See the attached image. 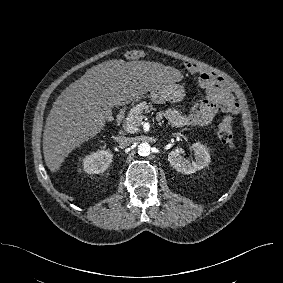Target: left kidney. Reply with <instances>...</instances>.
<instances>
[{
	"label": "left kidney",
	"mask_w": 283,
	"mask_h": 283,
	"mask_svg": "<svg viewBox=\"0 0 283 283\" xmlns=\"http://www.w3.org/2000/svg\"><path fill=\"white\" fill-rule=\"evenodd\" d=\"M191 148L194 151L195 158L192 162L183 158L182 155L185 151L182 148L174 149L168 155L170 165L180 173L192 174L197 170L205 168L210 163L211 158L209 152L203 144L196 142Z\"/></svg>",
	"instance_id": "left-kidney-1"
}]
</instances>
